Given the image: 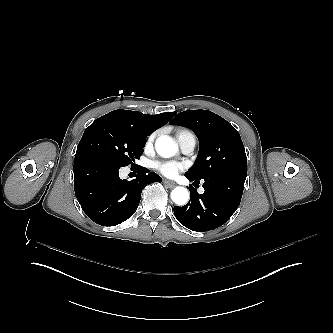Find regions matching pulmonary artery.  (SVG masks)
<instances>
[{"label": "pulmonary artery", "mask_w": 333, "mask_h": 333, "mask_svg": "<svg viewBox=\"0 0 333 333\" xmlns=\"http://www.w3.org/2000/svg\"><path fill=\"white\" fill-rule=\"evenodd\" d=\"M180 149L185 154H191L196 147L197 138L191 130H182L176 134Z\"/></svg>", "instance_id": "pulmonary-artery-1"}]
</instances>
